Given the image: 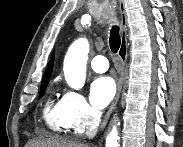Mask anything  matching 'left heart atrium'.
I'll return each mask as SVG.
<instances>
[{"instance_id": "1", "label": "left heart atrium", "mask_w": 183, "mask_h": 147, "mask_svg": "<svg viewBox=\"0 0 183 147\" xmlns=\"http://www.w3.org/2000/svg\"><path fill=\"white\" fill-rule=\"evenodd\" d=\"M116 92L115 81L109 76L94 79L90 85V100L97 109H103L113 99Z\"/></svg>"}]
</instances>
